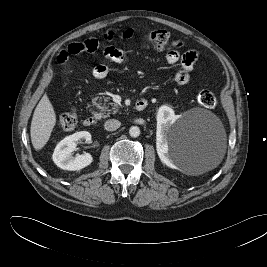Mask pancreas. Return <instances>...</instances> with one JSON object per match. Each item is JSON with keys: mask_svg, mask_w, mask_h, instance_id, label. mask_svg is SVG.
<instances>
[{"mask_svg": "<svg viewBox=\"0 0 267 267\" xmlns=\"http://www.w3.org/2000/svg\"><path fill=\"white\" fill-rule=\"evenodd\" d=\"M100 100H101V98L96 97L92 101V105L95 106L99 111V112H94L95 117H97V118H106L111 113L115 114V113L118 112L119 107H118L117 104L109 103L112 106V108L109 109V106L106 105V102L108 101L107 98H104V104L103 105H102V103H99Z\"/></svg>", "mask_w": 267, "mask_h": 267, "instance_id": "1", "label": "pancreas"}]
</instances>
